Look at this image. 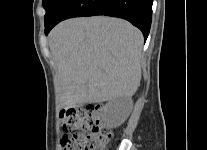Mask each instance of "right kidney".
I'll return each instance as SVG.
<instances>
[{
	"label": "right kidney",
	"mask_w": 207,
	"mask_h": 150,
	"mask_svg": "<svg viewBox=\"0 0 207 150\" xmlns=\"http://www.w3.org/2000/svg\"><path fill=\"white\" fill-rule=\"evenodd\" d=\"M132 109L130 97L117 98L109 101L103 109V116L111 127L120 126L129 116Z\"/></svg>",
	"instance_id": "ca27d5eb"
}]
</instances>
